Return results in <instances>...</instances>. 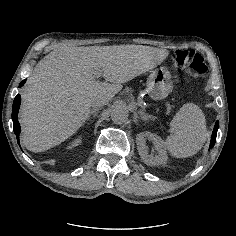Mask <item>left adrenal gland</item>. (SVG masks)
Wrapping results in <instances>:
<instances>
[{"mask_svg": "<svg viewBox=\"0 0 236 236\" xmlns=\"http://www.w3.org/2000/svg\"><path fill=\"white\" fill-rule=\"evenodd\" d=\"M140 115H141V118L145 121V122H148V121H154L155 120V117L150 115V114H146L144 113L142 110H139L138 112Z\"/></svg>", "mask_w": 236, "mask_h": 236, "instance_id": "obj_1", "label": "left adrenal gland"}]
</instances>
